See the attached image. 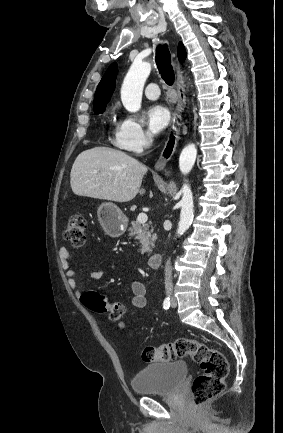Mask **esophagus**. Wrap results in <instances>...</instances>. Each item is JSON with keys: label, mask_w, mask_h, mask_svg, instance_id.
Returning <instances> with one entry per match:
<instances>
[{"label": "esophagus", "mask_w": 283, "mask_h": 433, "mask_svg": "<svg viewBox=\"0 0 283 433\" xmlns=\"http://www.w3.org/2000/svg\"><path fill=\"white\" fill-rule=\"evenodd\" d=\"M175 65L177 75L176 85L179 93V103L173 115L172 125L168 134V138L165 142V146L155 164L156 170H165L167 162L170 160V158L175 152L180 137V129L183 122V113L186 106V91L183 79V72L177 59Z\"/></svg>", "instance_id": "esophagus-1"}]
</instances>
